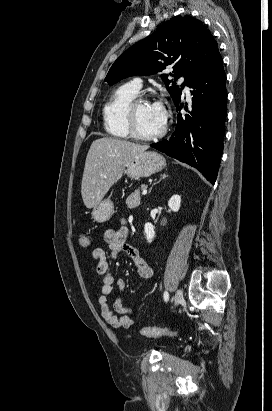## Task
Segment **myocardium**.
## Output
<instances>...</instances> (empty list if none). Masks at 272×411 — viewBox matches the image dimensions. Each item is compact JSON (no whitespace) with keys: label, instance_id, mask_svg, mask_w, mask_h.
Returning a JSON list of instances; mask_svg holds the SVG:
<instances>
[{"label":"myocardium","instance_id":"obj_1","mask_svg":"<svg viewBox=\"0 0 272 411\" xmlns=\"http://www.w3.org/2000/svg\"><path fill=\"white\" fill-rule=\"evenodd\" d=\"M148 102V98L143 95H137L127 106L126 108V125L129 132V135L141 141H155L162 138L167 131V122L166 118H164L163 125L161 129L151 135H146L137 129L136 126V109L140 103Z\"/></svg>","mask_w":272,"mask_h":411}]
</instances>
